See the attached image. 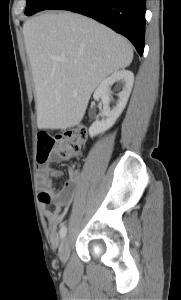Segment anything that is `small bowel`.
Masks as SVG:
<instances>
[{
  "label": "small bowel",
  "instance_id": "c3829d8e",
  "mask_svg": "<svg viewBox=\"0 0 181 300\" xmlns=\"http://www.w3.org/2000/svg\"><path fill=\"white\" fill-rule=\"evenodd\" d=\"M55 160L56 158L51 156L48 161L40 163L38 168L40 188L38 199L43 206L44 216L52 226H57L61 222L80 186L78 178L72 175L61 189L54 188L52 179L62 175L61 170L50 165V162Z\"/></svg>",
  "mask_w": 181,
  "mask_h": 300
}]
</instances>
